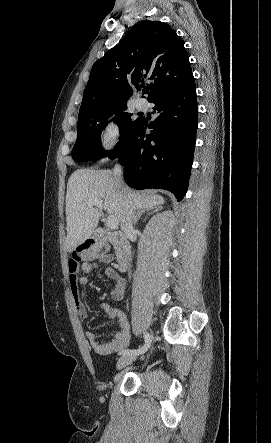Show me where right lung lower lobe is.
I'll return each mask as SVG.
<instances>
[{
  "label": "right lung lower lobe",
  "instance_id": "right-lung-lower-lobe-1",
  "mask_svg": "<svg viewBox=\"0 0 271 443\" xmlns=\"http://www.w3.org/2000/svg\"><path fill=\"white\" fill-rule=\"evenodd\" d=\"M149 102L159 116L150 124L140 119L124 137L116 157L125 166L124 179L131 187L166 189L181 201L188 188L198 125L194 78ZM147 127L153 129L148 135Z\"/></svg>",
  "mask_w": 271,
  "mask_h": 443
}]
</instances>
